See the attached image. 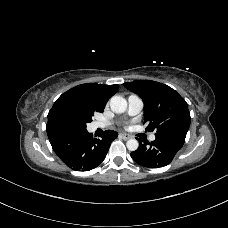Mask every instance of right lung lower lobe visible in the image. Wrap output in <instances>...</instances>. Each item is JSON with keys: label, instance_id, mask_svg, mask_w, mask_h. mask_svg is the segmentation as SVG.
I'll return each instance as SVG.
<instances>
[{"label": "right lung lower lobe", "instance_id": "98d812e1", "mask_svg": "<svg viewBox=\"0 0 228 228\" xmlns=\"http://www.w3.org/2000/svg\"><path fill=\"white\" fill-rule=\"evenodd\" d=\"M47 134L57 156L76 171H89L99 166L118 136L117 132L108 130L101 139H94L87 130L63 127L53 128Z\"/></svg>", "mask_w": 228, "mask_h": 228}]
</instances>
